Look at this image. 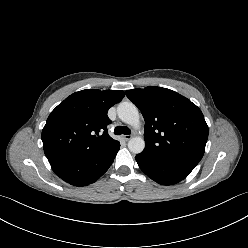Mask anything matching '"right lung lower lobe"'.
<instances>
[{
	"instance_id": "98d812e1",
	"label": "right lung lower lobe",
	"mask_w": 248,
	"mask_h": 248,
	"mask_svg": "<svg viewBox=\"0 0 248 248\" xmlns=\"http://www.w3.org/2000/svg\"><path fill=\"white\" fill-rule=\"evenodd\" d=\"M120 144L86 158H54L49 163L65 182L74 186H85L99 179L111 166Z\"/></svg>"
}]
</instances>
